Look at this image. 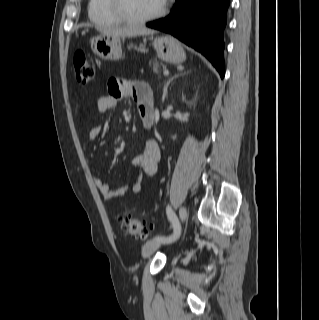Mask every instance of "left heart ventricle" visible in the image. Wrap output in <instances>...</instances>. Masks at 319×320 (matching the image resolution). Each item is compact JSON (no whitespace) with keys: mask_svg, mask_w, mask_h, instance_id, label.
<instances>
[{"mask_svg":"<svg viewBox=\"0 0 319 320\" xmlns=\"http://www.w3.org/2000/svg\"><path fill=\"white\" fill-rule=\"evenodd\" d=\"M128 12L136 17L155 13L162 6L161 0H125Z\"/></svg>","mask_w":319,"mask_h":320,"instance_id":"obj_1","label":"left heart ventricle"}]
</instances>
